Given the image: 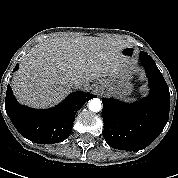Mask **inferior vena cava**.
I'll list each match as a JSON object with an SVG mask.
<instances>
[{
  "mask_svg": "<svg viewBox=\"0 0 178 178\" xmlns=\"http://www.w3.org/2000/svg\"><path fill=\"white\" fill-rule=\"evenodd\" d=\"M70 84L74 87V88H78L80 86L79 81L76 78H72Z\"/></svg>",
  "mask_w": 178,
  "mask_h": 178,
  "instance_id": "obj_1",
  "label": "inferior vena cava"
}]
</instances>
